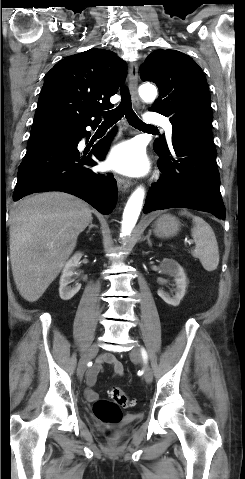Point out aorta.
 I'll return each instance as SVG.
<instances>
[{
	"mask_svg": "<svg viewBox=\"0 0 245 479\" xmlns=\"http://www.w3.org/2000/svg\"><path fill=\"white\" fill-rule=\"evenodd\" d=\"M139 94L145 102H152L157 96V90L153 85L145 84L140 86ZM145 191L138 187L130 196L123 213L121 222V237L129 236L136 225L140 215Z\"/></svg>",
	"mask_w": 245,
	"mask_h": 479,
	"instance_id": "aorta-1",
	"label": "aorta"
}]
</instances>
